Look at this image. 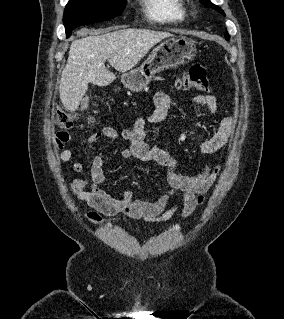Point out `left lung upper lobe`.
<instances>
[{"mask_svg":"<svg viewBox=\"0 0 284 319\" xmlns=\"http://www.w3.org/2000/svg\"><path fill=\"white\" fill-rule=\"evenodd\" d=\"M200 2L203 3V4L206 5V6L213 7L215 10H217L218 12H220V13H222V14L224 15L223 10L220 9L218 6L212 4V3L210 2V0H200ZM225 38H226L227 40H229V38H230V37H229V34H228L227 32L225 33Z\"/></svg>","mask_w":284,"mask_h":319,"instance_id":"obj_1","label":"left lung upper lobe"}]
</instances>
